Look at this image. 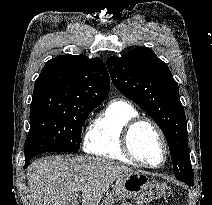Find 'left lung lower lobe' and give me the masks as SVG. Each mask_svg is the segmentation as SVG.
<instances>
[{"mask_svg":"<svg viewBox=\"0 0 212 205\" xmlns=\"http://www.w3.org/2000/svg\"><path fill=\"white\" fill-rule=\"evenodd\" d=\"M184 183H186V182H184ZM186 184L189 186H193L194 183H186Z\"/></svg>","mask_w":212,"mask_h":205,"instance_id":"obj_1","label":"left lung lower lobe"}]
</instances>
